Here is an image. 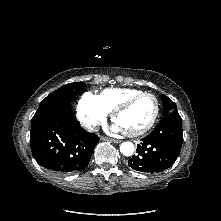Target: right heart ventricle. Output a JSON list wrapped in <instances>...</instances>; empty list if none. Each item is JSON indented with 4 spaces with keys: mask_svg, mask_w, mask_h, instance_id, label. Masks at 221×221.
Returning <instances> with one entry per match:
<instances>
[{
    "mask_svg": "<svg viewBox=\"0 0 221 221\" xmlns=\"http://www.w3.org/2000/svg\"><path fill=\"white\" fill-rule=\"evenodd\" d=\"M141 92V90L134 88H109L102 91L98 98L103 107L108 112H111L122 101Z\"/></svg>",
    "mask_w": 221,
    "mask_h": 221,
    "instance_id": "1",
    "label": "right heart ventricle"
}]
</instances>
